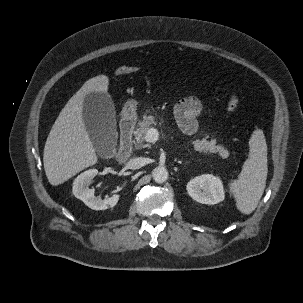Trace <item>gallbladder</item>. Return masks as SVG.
Instances as JSON below:
<instances>
[{
	"label": "gallbladder",
	"mask_w": 303,
	"mask_h": 303,
	"mask_svg": "<svg viewBox=\"0 0 303 303\" xmlns=\"http://www.w3.org/2000/svg\"><path fill=\"white\" fill-rule=\"evenodd\" d=\"M83 119L89 137L99 155L113 150L116 143L115 108L106 93L87 94L83 103Z\"/></svg>",
	"instance_id": "gallbladder-1"
}]
</instances>
